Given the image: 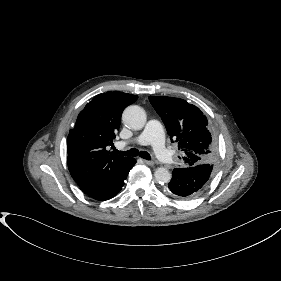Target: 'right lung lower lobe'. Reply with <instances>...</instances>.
<instances>
[{
  "label": "right lung lower lobe",
  "mask_w": 281,
  "mask_h": 281,
  "mask_svg": "<svg viewBox=\"0 0 281 281\" xmlns=\"http://www.w3.org/2000/svg\"><path fill=\"white\" fill-rule=\"evenodd\" d=\"M136 160L134 158H131V160L128 162L125 170L104 190L101 192L91 196L93 199L96 200H107L118 194V192L122 189L124 185V181L127 178V175L130 171V169L135 165Z\"/></svg>",
  "instance_id": "obj_1"
}]
</instances>
